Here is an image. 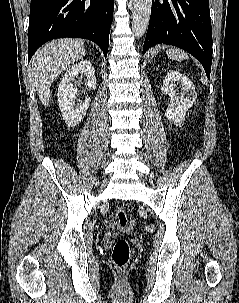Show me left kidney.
<instances>
[{
  "instance_id": "left-kidney-1",
  "label": "left kidney",
  "mask_w": 239,
  "mask_h": 303,
  "mask_svg": "<svg viewBox=\"0 0 239 303\" xmlns=\"http://www.w3.org/2000/svg\"><path fill=\"white\" fill-rule=\"evenodd\" d=\"M178 84L182 86L180 95L176 93ZM161 91L170 96V104L165 112V117L174 124L180 125L185 119L186 112L196 101L197 93L194 84L188 77L171 70L163 81Z\"/></svg>"
}]
</instances>
